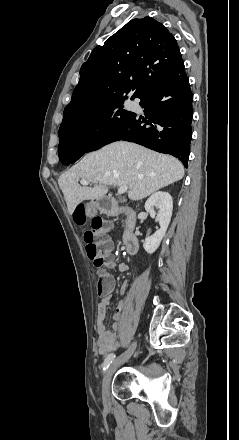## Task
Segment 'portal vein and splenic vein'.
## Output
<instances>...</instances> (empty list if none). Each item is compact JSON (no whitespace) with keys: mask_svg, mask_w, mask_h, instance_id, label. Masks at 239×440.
Returning a JSON list of instances; mask_svg holds the SVG:
<instances>
[{"mask_svg":"<svg viewBox=\"0 0 239 440\" xmlns=\"http://www.w3.org/2000/svg\"><path fill=\"white\" fill-rule=\"evenodd\" d=\"M80 184L81 186H88L90 182H87V180H81ZM127 190H128L127 186H120L117 196H119V194H124V192H127Z\"/></svg>","mask_w":239,"mask_h":440,"instance_id":"obj_1","label":"portal vein and splenic vein"}]
</instances>
